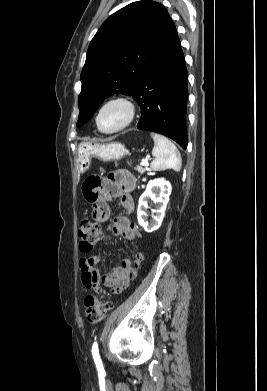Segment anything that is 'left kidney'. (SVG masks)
Masks as SVG:
<instances>
[{"instance_id": "left-kidney-1", "label": "left kidney", "mask_w": 267, "mask_h": 391, "mask_svg": "<svg viewBox=\"0 0 267 391\" xmlns=\"http://www.w3.org/2000/svg\"><path fill=\"white\" fill-rule=\"evenodd\" d=\"M170 182L162 179H154L149 181L145 192L140 196L137 208V219L140 226L144 228L146 232H153L157 230L163 221L165 216V210L171 194ZM151 200L156 209L152 210V220L148 221V200Z\"/></svg>"}]
</instances>
